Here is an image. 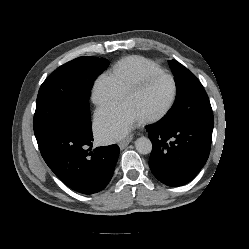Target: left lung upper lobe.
Masks as SVG:
<instances>
[{
  "label": "left lung upper lobe",
  "mask_w": 249,
  "mask_h": 249,
  "mask_svg": "<svg viewBox=\"0 0 249 249\" xmlns=\"http://www.w3.org/2000/svg\"><path fill=\"white\" fill-rule=\"evenodd\" d=\"M169 65L175 76L177 96L161 121L168 125H184L213 118L210 101L197 77L176 60H169Z\"/></svg>",
  "instance_id": "1"
}]
</instances>
